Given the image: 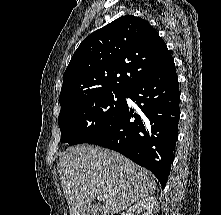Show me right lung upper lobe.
<instances>
[{
	"instance_id": "cb5924a9",
	"label": "right lung upper lobe",
	"mask_w": 221,
	"mask_h": 215,
	"mask_svg": "<svg viewBox=\"0 0 221 215\" xmlns=\"http://www.w3.org/2000/svg\"><path fill=\"white\" fill-rule=\"evenodd\" d=\"M171 59L148 21L122 16L90 34L75 51L63 75L61 109L106 93H127Z\"/></svg>"
}]
</instances>
